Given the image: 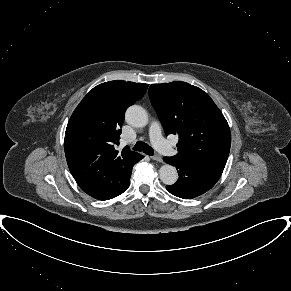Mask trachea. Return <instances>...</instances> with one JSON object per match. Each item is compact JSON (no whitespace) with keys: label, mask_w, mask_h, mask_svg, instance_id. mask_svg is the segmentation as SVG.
<instances>
[{"label":"trachea","mask_w":291,"mask_h":291,"mask_svg":"<svg viewBox=\"0 0 291 291\" xmlns=\"http://www.w3.org/2000/svg\"><path fill=\"white\" fill-rule=\"evenodd\" d=\"M135 151H143L145 154L152 156L154 154V150L145 142L138 141L133 147Z\"/></svg>","instance_id":"1"}]
</instances>
